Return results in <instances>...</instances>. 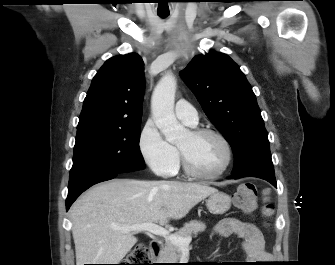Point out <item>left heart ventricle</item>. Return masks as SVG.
Wrapping results in <instances>:
<instances>
[{
	"label": "left heart ventricle",
	"mask_w": 335,
	"mask_h": 265,
	"mask_svg": "<svg viewBox=\"0 0 335 265\" xmlns=\"http://www.w3.org/2000/svg\"><path fill=\"white\" fill-rule=\"evenodd\" d=\"M191 166L204 174L218 171L223 165L226 152L223 144L214 136L195 138L187 133L179 142Z\"/></svg>",
	"instance_id": "left-heart-ventricle-1"
}]
</instances>
